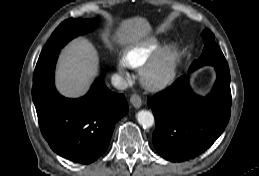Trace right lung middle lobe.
I'll use <instances>...</instances> for the list:
<instances>
[{
    "mask_svg": "<svg viewBox=\"0 0 259 176\" xmlns=\"http://www.w3.org/2000/svg\"><path fill=\"white\" fill-rule=\"evenodd\" d=\"M93 28L94 21L89 19H68L63 21L52 33L39 58L60 50L71 39L92 31Z\"/></svg>",
    "mask_w": 259,
    "mask_h": 176,
    "instance_id": "1",
    "label": "right lung middle lobe"
}]
</instances>
